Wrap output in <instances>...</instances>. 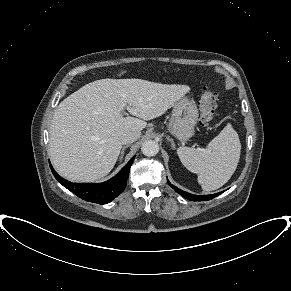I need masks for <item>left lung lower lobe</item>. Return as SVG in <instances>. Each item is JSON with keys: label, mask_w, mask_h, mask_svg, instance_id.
<instances>
[{"label": "left lung lower lobe", "mask_w": 291, "mask_h": 291, "mask_svg": "<svg viewBox=\"0 0 291 291\" xmlns=\"http://www.w3.org/2000/svg\"><path fill=\"white\" fill-rule=\"evenodd\" d=\"M168 184L181 196H183L184 198H186L188 200H193V201H207V200L213 199L216 196H218L219 194H221V193H215V194H211V195H193V194H190L188 192L180 190L176 186H173L172 184H170L169 181H168Z\"/></svg>", "instance_id": "1"}]
</instances>
